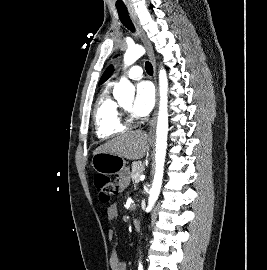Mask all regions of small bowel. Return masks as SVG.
<instances>
[{"instance_id":"obj_1","label":"small bowel","mask_w":267,"mask_h":270,"mask_svg":"<svg viewBox=\"0 0 267 270\" xmlns=\"http://www.w3.org/2000/svg\"><path fill=\"white\" fill-rule=\"evenodd\" d=\"M130 181V174L128 171H124L121 173L119 177V182L122 188H125ZM106 215L109 220H114L118 215V208L116 205H111L106 210ZM108 238L110 241H113L114 239V232L113 230L108 231ZM109 264L111 270H126V266L123 261L120 260L118 257L117 249L115 246H112L110 258H109Z\"/></svg>"}]
</instances>
